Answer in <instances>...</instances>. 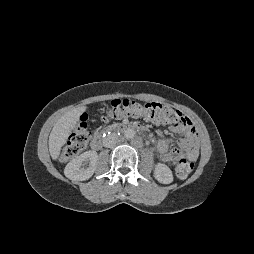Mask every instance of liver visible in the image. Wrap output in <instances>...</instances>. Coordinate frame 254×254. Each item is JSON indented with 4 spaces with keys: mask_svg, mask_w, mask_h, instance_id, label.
Wrapping results in <instances>:
<instances>
[{
    "mask_svg": "<svg viewBox=\"0 0 254 254\" xmlns=\"http://www.w3.org/2000/svg\"><path fill=\"white\" fill-rule=\"evenodd\" d=\"M86 110V106L74 108L57 120L50 133L48 143L52 159L56 160L59 157L61 148L67 141L71 131L77 125L80 115Z\"/></svg>",
    "mask_w": 254,
    "mask_h": 254,
    "instance_id": "liver-1",
    "label": "liver"
}]
</instances>
